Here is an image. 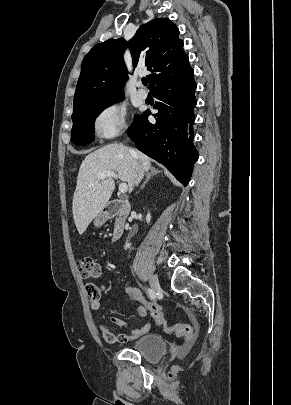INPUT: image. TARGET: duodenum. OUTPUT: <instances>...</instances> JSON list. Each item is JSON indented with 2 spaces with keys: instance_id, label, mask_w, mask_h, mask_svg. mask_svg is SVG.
I'll return each instance as SVG.
<instances>
[{
  "instance_id": "410a0bca",
  "label": "duodenum",
  "mask_w": 291,
  "mask_h": 405,
  "mask_svg": "<svg viewBox=\"0 0 291 405\" xmlns=\"http://www.w3.org/2000/svg\"><path fill=\"white\" fill-rule=\"evenodd\" d=\"M129 213H130V205L127 200L124 199L112 200L106 205L104 209L105 217L114 220V226L112 231L113 241H117L122 237Z\"/></svg>"
}]
</instances>
